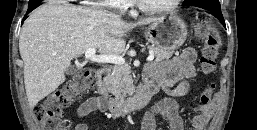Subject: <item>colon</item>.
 <instances>
[{
	"label": "colon",
	"mask_w": 257,
	"mask_h": 130,
	"mask_svg": "<svg viewBox=\"0 0 257 130\" xmlns=\"http://www.w3.org/2000/svg\"><path fill=\"white\" fill-rule=\"evenodd\" d=\"M195 33L203 39L200 56V67L204 74H213L216 70V59L222 40L216 28L204 18H197ZM97 75L91 68L80 70L65 87L57 91L54 101L47 105H38L34 109L36 121L42 130H68L63 120L65 108L79 97L97 89ZM215 90L214 82H207L200 97L203 105H209Z\"/></svg>",
	"instance_id": "5ec220e1"
}]
</instances>
